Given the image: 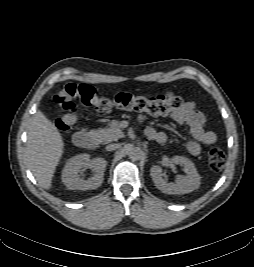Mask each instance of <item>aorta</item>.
Segmentation results:
<instances>
[{"instance_id":"1","label":"aorta","mask_w":254,"mask_h":267,"mask_svg":"<svg viewBox=\"0 0 254 267\" xmlns=\"http://www.w3.org/2000/svg\"><path fill=\"white\" fill-rule=\"evenodd\" d=\"M127 154L133 161L140 160L143 157V151L139 147L134 145L127 146Z\"/></svg>"}]
</instances>
